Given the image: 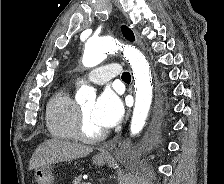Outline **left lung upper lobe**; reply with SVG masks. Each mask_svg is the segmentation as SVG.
<instances>
[{"mask_svg":"<svg viewBox=\"0 0 224 184\" xmlns=\"http://www.w3.org/2000/svg\"><path fill=\"white\" fill-rule=\"evenodd\" d=\"M122 32L126 39H128L130 41H134V35L128 27L122 26Z\"/></svg>","mask_w":224,"mask_h":184,"instance_id":"obj_1","label":"left lung upper lobe"}]
</instances>
